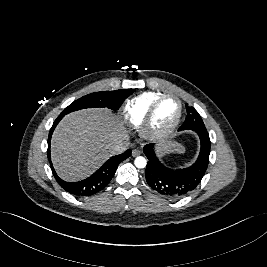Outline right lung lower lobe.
Masks as SVG:
<instances>
[{
	"mask_svg": "<svg viewBox=\"0 0 267 267\" xmlns=\"http://www.w3.org/2000/svg\"><path fill=\"white\" fill-rule=\"evenodd\" d=\"M61 118H57L49 132L48 136V150H47V156L50 161L51 169L53 172V175L55 176L56 181L59 183V185L67 192L70 194H73L75 196H91L94 195L95 193L101 191L103 188H105L108 183L111 181L113 178L117 167L120 162L123 160L127 159L130 154L131 150H127L124 153L120 155H116L111 157L109 160H107L101 168H99L93 175L90 177L79 181V182H66L62 180L55 172L52 163H51V158H50V141L52 137V133L56 127V125L59 123Z\"/></svg>",
	"mask_w": 267,
	"mask_h": 267,
	"instance_id": "98d812e1",
	"label": "right lung lower lobe"
}]
</instances>
